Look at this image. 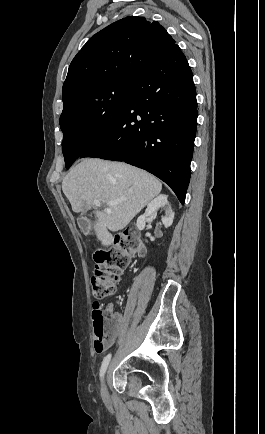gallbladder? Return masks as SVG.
<instances>
[{"label":"gallbladder","mask_w":265,"mask_h":434,"mask_svg":"<svg viewBox=\"0 0 265 434\" xmlns=\"http://www.w3.org/2000/svg\"><path fill=\"white\" fill-rule=\"evenodd\" d=\"M78 224L81 226V229L88 234V236H91L90 233V226L87 224V220L83 218V216H78Z\"/></svg>","instance_id":"bac80fb5"}]
</instances>
